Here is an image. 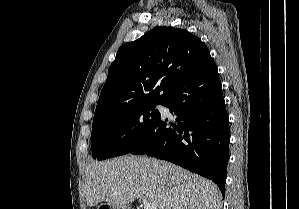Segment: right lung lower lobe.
Returning a JSON list of instances; mask_svg holds the SVG:
<instances>
[{
  "instance_id": "obj_1",
  "label": "right lung lower lobe",
  "mask_w": 299,
  "mask_h": 209,
  "mask_svg": "<svg viewBox=\"0 0 299 209\" xmlns=\"http://www.w3.org/2000/svg\"><path fill=\"white\" fill-rule=\"evenodd\" d=\"M163 105L176 122L160 118L128 153L164 159L204 176L217 184L224 197L230 130L218 71L192 74Z\"/></svg>"
}]
</instances>
